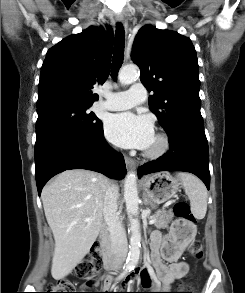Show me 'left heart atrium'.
Returning <instances> with one entry per match:
<instances>
[{"mask_svg": "<svg viewBox=\"0 0 245 293\" xmlns=\"http://www.w3.org/2000/svg\"><path fill=\"white\" fill-rule=\"evenodd\" d=\"M105 135L118 146L147 149L154 139V128L148 117L126 112L106 119Z\"/></svg>", "mask_w": 245, "mask_h": 293, "instance_id": "39dd6f15", "label": "left heart atrium"}]
</instances>
